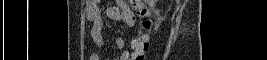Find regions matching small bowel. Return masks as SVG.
I'll list each match as a JSON object with an SVG mask.
<instances>
[{
  "label": "small bowel",
  "mask_w": 267,
  "mask_h": 60,
  "mask_svg": "<svg viewBox=\"0 0 267 60\" xmlns=\"http://www.w3.org/2000/svg\"><path fill=\"white\" fill-rule=\"evenodd\" d=\"M103 1L90 0L87 3L86 15L90 21V35L98 48H102L105 44L104 40V24L101 16V5ZM106 16L108 19L113 21H121L128 26L135 24V17L132 10L124 1H116L114 6L107 8ZM116 47L122 50L125 46V40L123 37H117L115 40ZM133 48V40H132ZM98 53H93L90 56V60H100ZM120 60H130L131 53L129 51H122L120 54Z\"/></svg>",
  "instance_id": "obj_1"
}]
</instances>
